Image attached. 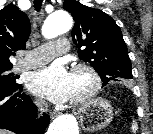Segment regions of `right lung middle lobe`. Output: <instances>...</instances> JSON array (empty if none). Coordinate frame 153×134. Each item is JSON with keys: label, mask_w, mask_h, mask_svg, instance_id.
Instances as JSON below:
<instances>
[{"label": "right lung middle lobe", "mask_w": 153, "mask_h": 134, "mask_svg": "<svg viewBox=\"0 0 153 134\" xmlns=\"http://www.w3.org/2000/svg\"><path fill=\"white\" fill-rule=\"evenodd\" d=\"M12 67L0 69V86H5L8 88H16L21 86L17 84L15 79L16 77L13 76V73H9Z\"/></svg>", "instance_id": "right-lung-middle-lobe-1"}]
</instances>
